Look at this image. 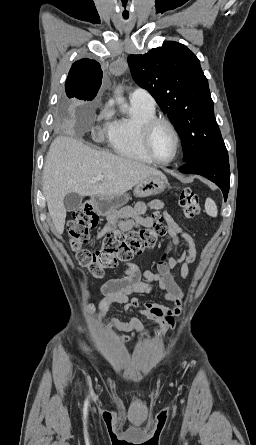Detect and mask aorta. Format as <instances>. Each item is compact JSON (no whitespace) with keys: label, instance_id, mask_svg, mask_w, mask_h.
Returning a JSON list of instances; mask_svg holds the SVG:
<instances>
[{"label":"aorta","instance_id":"1","mask_svg":"<svg viewBox=\"0 0 256 445\" xmlns=\"http://www.w3.org/2000/svg\"><path fill=\"white\" fill-rule=\"evenodd\" d=\"M118 92H120L119 89H118ZM117 101H118V103H122L124 101V98L121 95H119L117 97Z\"/></svg>","mask_w":256,"mask_h":445}]
</instances>
